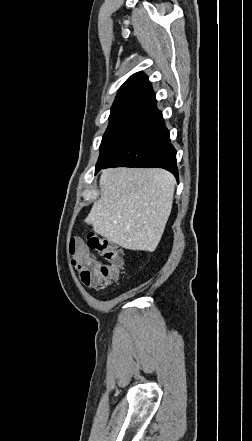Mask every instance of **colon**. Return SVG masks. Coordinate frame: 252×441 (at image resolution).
<instances>
[{"instance_id": "5ec220e1", "label": "colon", "mask_w": 252, "mask_h": 441, "mask_svg": "<svg viewBox=\"0 0 252 441\" xmlns=\"http://www.w3.org/2000/svg\"><path fill=\"white\" fill-rule=\"evenodd\" d=\"M69 250L73 257L72 264L85 285L97 287L111 285L117 281L123 265L121 253L105 238L89 233L86 244L73 240ZM92 251L105 259L107 264L98 261Z\"/></svg>"}]
</instances>
